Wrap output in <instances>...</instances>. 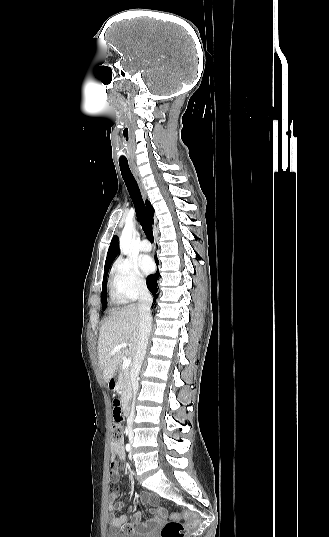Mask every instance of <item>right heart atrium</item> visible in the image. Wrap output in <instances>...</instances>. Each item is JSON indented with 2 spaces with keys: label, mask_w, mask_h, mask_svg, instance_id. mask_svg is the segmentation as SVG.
<instances>
[{
  "label": "right heart atrium",
  "mask_w": 329,
  "mask_h": 537,
  "mask_svg": "<svg viewBox=\"0 0 329 537\" xmlns=\"http://www.w3.org/2000/svg\"><path fill=\"white\" fill-rule=\"evenodd\" d=\"M111 288L121 301H133L147 289L146 281L135 262L120 258L110 272Z\"/></svg>",
  "instance_id": "right-heart-atrium-1"
}]
</instances>
